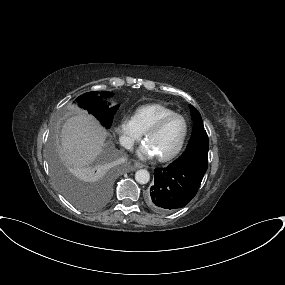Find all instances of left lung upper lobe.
<instances>
[{"instance_id":"5c2ea615","label":"left lung upper lobe","mask_w":285,"mask_h":285,"mask_svg":"<svg viewBox=\"0 0 285 285\" xmlns=\"http://www.w3.org/2000/svg\"><path fill=\"white\" fill-rule=\"evenodd\" d=\"M194 127L190 142L185 152L172 165L189 167L205 174L208 167L209 141L198 110L190 106Z\"/></svg>"}]
</instances>
